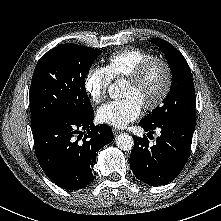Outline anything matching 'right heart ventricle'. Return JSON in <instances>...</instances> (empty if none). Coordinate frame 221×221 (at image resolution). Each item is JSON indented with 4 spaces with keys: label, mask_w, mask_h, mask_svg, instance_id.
<instances>
[{
    "label": "right heart ventricle",
    "mask_w": 221,
    "mask_h": 221,
    "mask_svg": "<svg viewBox=\"0 0 221 221\" xmlns=\"http://www.w3.org/2000/svg\"><path fill=\"white\" fill-rule=\"evenodd\" d=\"M156 55L141 48H128L113 52L108 58L107 68L112 79H128L144 62Z\"/></svg>",
    "instance_id": "1"
}]
</instances>
